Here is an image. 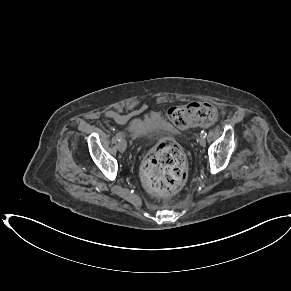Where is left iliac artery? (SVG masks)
<instances>
[{"instance_id":"left-iliac-artery-1","label":"left iliac artery","mask_w":291,"mask_h":291,"mask_svg":"<svg viewBox=\"0 0 291 291\" xmlns=\"http://www.w3.org/2000/svg\"><path fill=\"white\" fill-rule=\"evenodd\" d=\"M200 135L205 138L207 133H206V131L202 130Z\"/></svg>"}]
</instances>
